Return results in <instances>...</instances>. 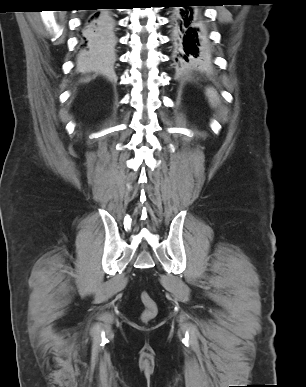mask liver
I'll return each instance as SVG.
<instances>
[{"mask_svg":"<svg viewBox=\"0 0 306 387\" xmlns=\"http://www.w3.org/2000/svg\"><path fill=\"white\" fill-rule=\"evenodd\" d=\"M88 80H89V78L84 79V81H88Z\"/></svg>","mask_w":306,"mask_h":387,"instance_id":"1","label":"liver"}]
</instances>
